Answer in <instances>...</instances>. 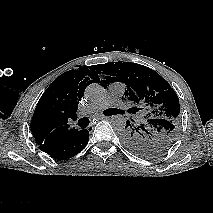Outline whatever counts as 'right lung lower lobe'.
Masks as SVG:
<instances>
[{"instance_id":"1","label":"right lung lower lobe","mask_w":213,"mask_h":213,"mask_svg":"<svg viewBox=\"0 0 213 213\" xmlns=\"http://www.w3.org/2000/svg\"><path fill=\"white\" fill-rule=\"evenodd\" d=\"M88 140L89 131L80 130L74 137L63 143L55 146L41 145L39 148L56 160H66L81 152L86 147Z\"/></svg>"}]
</instances>
